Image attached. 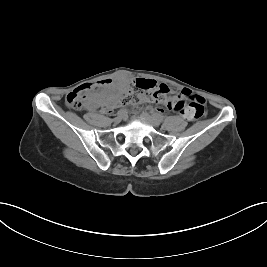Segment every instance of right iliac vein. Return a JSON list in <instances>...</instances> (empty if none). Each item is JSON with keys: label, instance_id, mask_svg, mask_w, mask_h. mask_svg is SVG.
I'll return each instance as SVG.
<instances>
[{"label": "right iliac vein", "instance_id": "right-iliac-vein-1", "mask_svg": "<svg viewBox=\"0 0 267 267\" xmlns=\"http://www.w3.org/2000/svg\"><path fill=\"white\" fill-rule=\"evenodd\" d=\"M122 118H123V115H117L114 119H113V121L115 122V123H120L121 122V120H122Z\"/></svg>", "mask_w": 267, "mask_h": 267}]
</instances>
